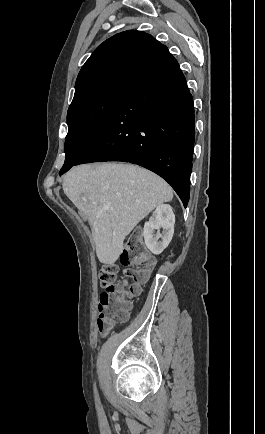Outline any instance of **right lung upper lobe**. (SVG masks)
<instances>
[{"label": "right lung upper lobe", "mask_w": 265, "mask_h": 434, "mask_svg": "<svg viewBox=\"0 0 265 434\" xmlns=\"http://www.w3.org/2000/svg\"><path fill=\"white\" fill-rule=\"evenodd\" d=\"M167 50L165 45L142 31L118 33L92 53L80 70L75 87L110 75H136Z\"/></svg>", "instance_id": "right-lung-upper-lobe-1"}]
</instances>
